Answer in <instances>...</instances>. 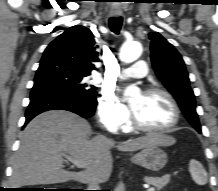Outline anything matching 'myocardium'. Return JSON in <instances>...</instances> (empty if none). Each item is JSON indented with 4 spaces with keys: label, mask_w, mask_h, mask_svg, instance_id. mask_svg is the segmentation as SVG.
I'll return each instance as SVG.
<instances>
[{
    "label": "myocardium",
    "mask_w": 218,
    "mask_h": 191,
    "mask_svg": "<svg viewBox=\"0 0 218 191\" xmlns=\"http://www.w3.org/2000/svg\"><path fill=\"white\" fill-rule=\"evenodd\" d=\"M144 94L146 95H162L164 96L169 103L172 106L173 112H174V118L173 121L167 125L166 127L163 128H149L144 125H142L136 118L134 112L132 111L131 113V126L135 130L145 132V133H150V134H162V133H167L172 131L180 122L181 119V110L180 107L175 100V98L172 96L171 93L166 91L165 89L158 88V87H149L148 89L145 90Z\"/></svg>",
    "instance_id": "f54148a6"
}]
</instances>
